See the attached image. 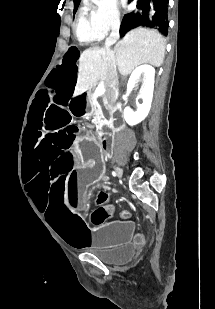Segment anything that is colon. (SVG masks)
Wrapping results in <instances>:
<instances>
[{"label": "colon", "instance_id": "obj_1", "mask_svg": "<svg viewBox=\"0 0 215 309\" xmlns=\"http://www.w3.org/2000/svg\"><path fill=\"white\" fill-rule=\"evenodd\" d=\"M113 212V205L112 204H107L104 208H102L98 215L96 216V221H99L102 219L104 216H107L108 214H111Z\"/></svg>", "mask_w": 215, "mask_h": 309}]
</instances>
